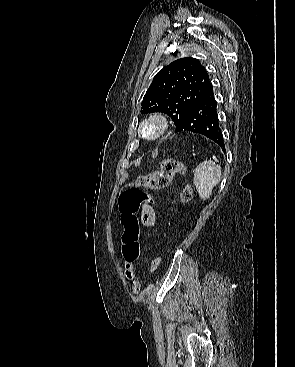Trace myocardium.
I'll use <instances>...</instances> for the list:
<instances>
[{
    "mask_svg": "<svg viewBox=\"0 0 295 367\" xmlns=\"http://www.w3.org/2000/svg\"><path fill=\"white\" fill-rule=\"evenodd\" d=\"M169 128V122L165 115L152 113L146 116L138 126L139 135L147 140L154 141L161 138Z\"/></svg>",
    "mask_w": 295,
    "mask_h": 367,
    "instance_id": "1",
    "label": "myocardium"
}]
</instances>
